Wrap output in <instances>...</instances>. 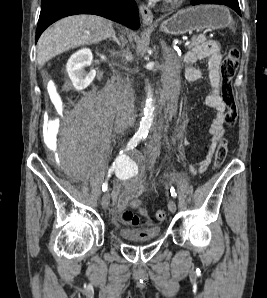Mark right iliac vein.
Wrapping results in <instances>:
<instances>
[{"mask_svg": "<svg viewBox=\"0 0 267 298\" xmlns=\"http://www.w3.org/2000/svg\"><path fill=\"white\" fill-rule=\"evenodd\" d=\"M110 203V196L109 194L106 192L103 194L102 199H101V205L103 208H107L108 205Z\"/></svg>", "mask_w": 267, "mask_h": 298, "instance_id": "63e3f726", "label": "right iliac vein"}]
</instances>
